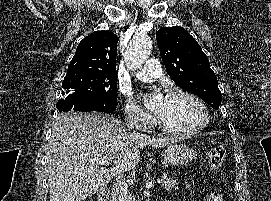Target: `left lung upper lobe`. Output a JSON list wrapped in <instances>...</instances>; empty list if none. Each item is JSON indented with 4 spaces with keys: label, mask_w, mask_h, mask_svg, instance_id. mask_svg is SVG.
Instances as JSON below:
<instances>
[{
    "label": "left lung upper lobe",
    "mask_w": 271,
    "mask_h": 201,
    "mask_svg": "<svg viewBox=\"0 0 271 201\" xmlns=\"http://www.w3.org/2000/svg\"><path fill=\"white\" fill-rule=\"evenodd\" d=\"M156 39L161 58L172 80L218 110L222 94L216 75L198 42L180 26L159 29Z\"/></svg>",
    "instance_id": "obj_1"
}]
</instances>
